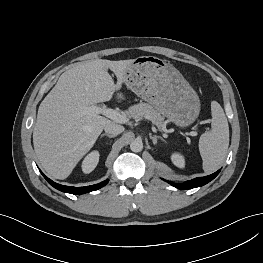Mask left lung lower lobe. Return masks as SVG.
<instances>
[{
	"mask_svg": "<svg viewBox=\"0 0 263 263\" xmlns=\"http://www.w3.org/2000/svg\"><path fill=\"white\" fill-rule=\"evenodd\" d=\"M219 172H220V170H218L217 172H215L209 176L198 177V178L186 181L185 183H182V184H175V183H172V182H169L166 180L165 181L170 183L172 186H174L180 190H187V189H192V188L200 187V186L207 184L208 182L213 180L219 174Z\"/></svg>",
	"mask_w": 263,
	"mask_h": 263,
	"instance_id": "obj_1",
	"label": "left lung lower lobe"
}]
</instances>
